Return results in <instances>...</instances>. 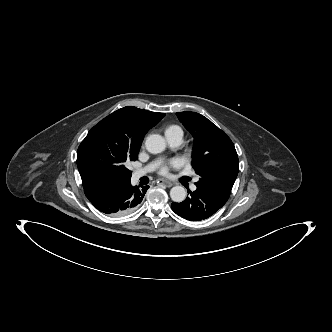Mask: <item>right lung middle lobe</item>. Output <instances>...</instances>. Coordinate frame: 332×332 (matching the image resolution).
I'll return each mask as SVG.
<instances>
[{
	"label": "right lung middle lobe",
	"mask_w": 332,
	"mask_h": 332,
	"mask_svg": "<svg viewBox=\"0 0 332 332\" xmlns=\"http://www.w3.org/2000/svg\"><path fill=\"white\" fill-rule=\"evenodd\" d=\"M146 133L119 111L96 124L77 151L83 186L99 180L130 179L132 172L126 165L137 160Z\"/></svg>",
	"instance_id": "dd1d6c3e"
}]
</instances>
